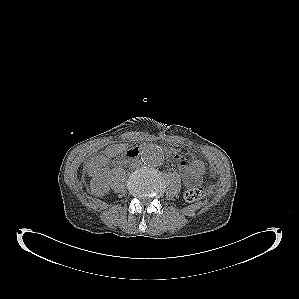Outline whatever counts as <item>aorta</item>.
Returning a JSON list of instances; mask_svg holds the SVG:
<instances>
[{
	"instance_id": "aorta-1",
	"label": "aorta",
	"mask_w": 299,
	"mask_h": 299,
	"mask_svg": "<svg viewBox=\"0 0 299 299\" xmlns=\"http://www.w3.org/2000/svg\"><path fill=\"white\" fill-rule=\"evenodd\" d=\"M141 158L146 165L156 167L162 164L164 153L158 145L148 144L142 148Z\"/></svg>"
}]
</instances>
